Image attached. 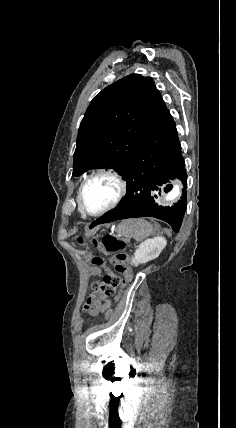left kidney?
Returning a JSON list of instances; mask_svg holds the SVG:
<instances>
[{
	"instance_id": "obj_1",
	"label": "left kidney",
	"mask_w": 236,
	"mask_h": 428,
	"mask_svg": "<svg viewBox=\"0 0 236 428\" xmlns=\"http://www.w3.org/2000/svg\"><path fill=\"white\" fill-rule=\"evenodd\" d=\"M165 246L166 240L165 238H161V236L145 240V242H142V244L138 246L134 254L132 264H134V266H138V264H145V262L155 260V258H158L159 254H161Z\"/></svg>"
}]
</instances>
